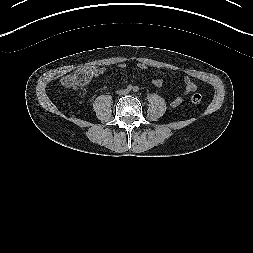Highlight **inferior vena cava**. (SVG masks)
<instances>
[{
	"label": "inferior vena cava",
	"instance_id": "obj_1",
	"mask_svg": "<svg viewBox=\"0 0 253 253\" xmlns=\"http://www.w3.org/2000/svg\"><path fill=\"white\" fill-rule=\"evenodd\" d=\"M129 91H130V89L129 90H125V91L122 92V94H128Z\"/></svg>",
	"mask_w": 253,
	"mask_h": 253
}]
</instances>
